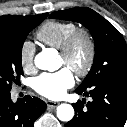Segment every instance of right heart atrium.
Here are the masks:
<instances>
[{
	"instance_id": "d8ad5b80",
	"label": "right heart atrium",
	"mask_w": 127,
	"mask_h": 127,
	"mask_svg": "<svg viewBox=\"0 0 127 127\" xmlns=\"http://www.w3.org/2000/svg\"><path fill=\"white\" fill-rule=\"evenodd\" d=\"M35 45L29 41L25 40L20 47L19 57L20 62L25 71H32L35 68Z\"/></svg>"
}]
</instances>
